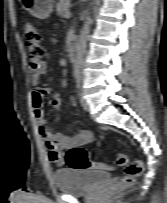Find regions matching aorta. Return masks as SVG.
Listing matches in <instances>:
<instances>
[{
	"instance_id": "aorta-1",
	"label": "aorta",
	"mask_w": 167,
	"mask_h": 203,
	"mask_svg": "<svg viewBox=\"0 0 167 203\" xmlns=\"http://www.w3.org/2000/svg\"><path fill=\"white\" fill-rule=\"evenodd\" d=\"M90 21H91L90 16H87L86 21L81 29L78 42L75 47L73 64H74V71L76 74L80 73L83 66L84 55L86 52L87 41H88L89 32H90V28H89Z\"/></svg>"
}]
</instances>
